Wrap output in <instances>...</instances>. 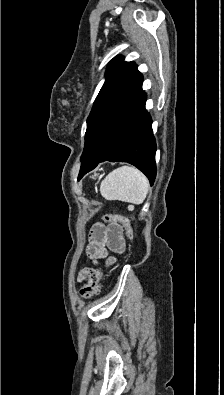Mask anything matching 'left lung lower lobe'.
I'll return each instance as SVG.
<instances>
[{
	"instance_id": "1",
	"label": "left lung lower lobe",
	"mask_w": 224,
	"mask_h": 395,
	"mask_svg": "<svg viewBox=\"0 0 224 395\" xmlns=\"http://www.w3.org/2000/svg\"><path fill=\"white\" fill-rule=\"evenodd\" d=\"M142 74L129 83L97 114L81 156L78 180L99 162L133 164L152 185L156 176V142L152 120L145 109Z\"/></svg>"
}]
</instances>
